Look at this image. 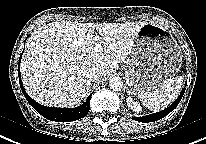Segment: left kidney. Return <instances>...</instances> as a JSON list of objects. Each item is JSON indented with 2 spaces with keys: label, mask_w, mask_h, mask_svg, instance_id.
Wrapping results in <instances>:
<instances>
[{
  "label": "left kidney",
  "mask_w": 206,
  "mask_h": 144,
  "mask_svg": "<svg viewBox=\"0 0 206 144\" xmlns=\"http://www.w3.org/2000/svg\"><path fill=\"white\" fill-rule=\"evenodd\" d=\"M126 102L128 105V108L133 110L134 112H141L142 108L139 103L135 102L131 97L126 98Z\"/></svg>",
  "instance_id": "left-kidney-1"
}]
</instances>
